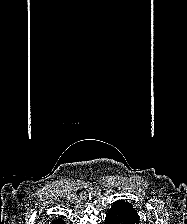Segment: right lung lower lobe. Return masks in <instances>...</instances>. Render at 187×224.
Here are the masks:
<instances>
[{"label":"right lung lower lobe","instance_id":"right-lung-lower-lobe-1","mask_svg":"<svg viewBox=\"0 0 187 224\" xmlns=\"http://www.w3.org/2000/svg\"><path fill=\"white\" fill-rule=\"evenodd\" d=\"M52 224H65L64 221L61 219H56L52 221Z\"/></svg>","mask_w":187,"mask_h":224}]
</instances>
